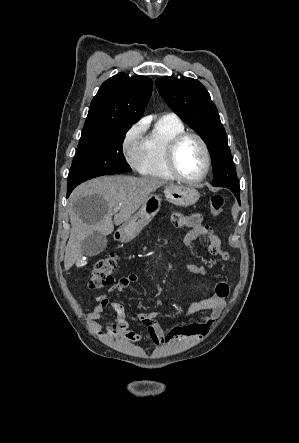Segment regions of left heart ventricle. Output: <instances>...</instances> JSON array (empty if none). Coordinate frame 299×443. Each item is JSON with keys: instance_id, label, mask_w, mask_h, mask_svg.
<instances>
[{"instance_id": "left-heart-ventricle-1", "label": "left heart ventricle", "mask_w": 299, "mask_h": 443, "mask_svg": "<svg viewBox=\"0 0 299 443\" xmlns=\"http://www.w3.org/2000/svg\"><path fill=\"white\" fill-rule=\"evenodd\" d=\"M177 164L181 173L189 178L201 175L205 158L200 143L195 138L186 139L177 152Z\"/></svg>"}]
</instances>
